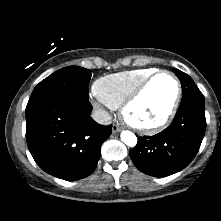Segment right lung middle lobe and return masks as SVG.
Wrapping results in <instances>:
<instances>
[{"instance_id": "right-lung-middle-lobe-1", "label": "right lung middle lobe", "mask_w": 221, "mask_h": 221, "mask_svg": "<svg viewBox=\"0 0 221 221\" xmlns=\"http://www.w3.org/2000/svg\"><path fill=\"white\" fill-rule=\"evenodd\" d=\"M89 69L79 66L62 68L42 80L33 90L27 106L60 97L88 98Z\"/></svg>"}]
</instances>
